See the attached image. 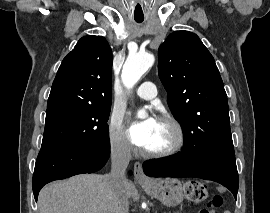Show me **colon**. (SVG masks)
Instances as JSON below:
<instances>
[{
    "instance_id": "5ec220e1",
    "label": "colon",
    "mask_w": 270,
    "mask_h": 213,
    "mask_svg": "<svg viewBox=\"0 0 270 213\" xmlns=\"http://www.w3.org/2000/svg\"><path fill=\"white\" fill-rule=\"evenodd\" d=\"M184 193L190 201L199 203L206 197L207 190L202 182L191 180L185 183ZM222 202L223 200L220 195H214L209 199L206 207L201 209L199 213H216Z\"/></svg>"
}]
</instances>
